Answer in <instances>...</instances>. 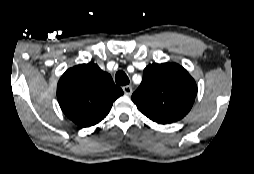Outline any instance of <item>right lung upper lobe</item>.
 I'll list each match as a JSON object with an SVG mask.
<instances>
[{
	"instance_id": "right-lung-upper-lobe-1",
	"label": "right lung upper lobe",
	"mask_w": 254,
	"mask_h": 174,
	"mask_svg": "<svg viewBox=\"0 0 254 174\" xmlns=\"http://www.w3.org/2000/svg\"><path fill=\"white\" fill-rule=\"evenodd\" d=\"M121 95L123 90L94 63L69 68L57 86V98L63 113L82 128L103 120Z\"/></svg>"
}]
</instances>
